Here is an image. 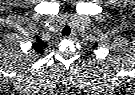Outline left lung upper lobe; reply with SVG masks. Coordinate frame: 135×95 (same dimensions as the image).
<instances>
[{
	"instance_id": "left-lung-upper-lobe-1",
	"label": "left lung upper lobe",
	"mask_w": 135,
	"mask_h": 95,
	"mask_svg": "<svg viewBox=\"0 0 135 95\" xmlns=\"http://www.w3.org/2000/svg\"><path fill=\"white\" fill-rule=\"evenodd\" d=\"M97 46H98V44L96 43V44L93 45V48L95 49Z\"/></svg>"
}]
</instances>
